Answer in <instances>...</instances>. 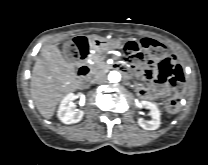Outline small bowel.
Segmentation results:
<instances>
[{
  "label": "small bowel",
  "mask_w": 208,
  "mask_h": 165,
  "mask_svg": "<svg viewBox=\"0 0 208 165\" xmlns=\"http://www.w3.org/2000/svg\"><path fill=\"white\" fill-rule=\"evenodd\" d=\"M142 81L152 86H139L137 92L143 99L155 100L170 96L173 91L181 90L186 84V75L179 56L167 53L158 66H145L137 72Z\"/></svg>",
  "instance_id": "1"
}]
</instances>
